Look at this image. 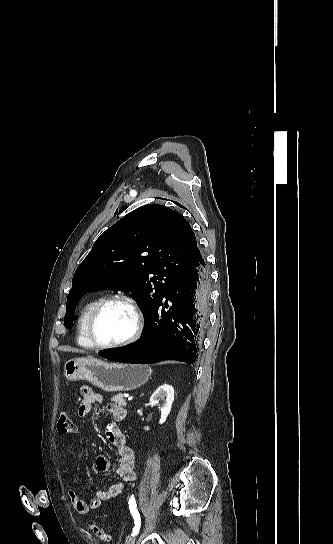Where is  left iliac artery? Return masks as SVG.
Returning <instances> with one entry per match:
<instances>
[{
  "label": "left iliac artery",
  "instance_id": "44dca946",
  "mask_svg": "<svg viewBox=\"0 0 333 544\" xmlns=\"http://www.w3.org/2000/svg\"><path fill=\"white\" fill-rule=\"evenodd\" d=\"M129 508H130V513L132 514L133 519H134V527H133V532H132L131 535L135 536L140 530L141 519H140L139 512L137 510V504H136V500H135L134 495H132L129 498Z\"/></svg>",
  "mask_w": 333,
  "mask_h": 544
}]
</instances>
